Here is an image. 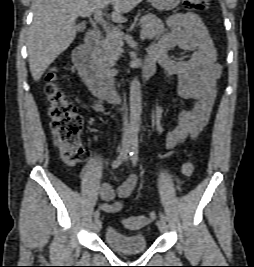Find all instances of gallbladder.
Instances as JSON below:
<instances>
[{"label":"gallbladder","mask_w":254,"mask_h":267,"mask_svg":"<svg viewBox=\"0 0 254 267\" xmlns=\"http://www.w3.org/2000/svg\"><path fill=\"white\" fill-rule=\"evenodd\" d=\"M83 27H84V26H83L82 24H78V25H77V30H82Z\"/></svg>","instance_id":"bac80fb5"}]
</instances>
